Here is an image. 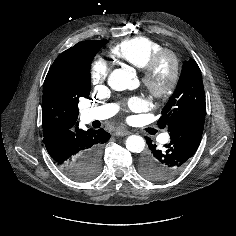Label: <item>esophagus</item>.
<instances>
[{"instance_id":"34e87169","label":"esophagus","mask_w":236,"mask_h":236,"mask_svg":"<svg viewBox=\"0 0 236 236\" xmlns=\"http://www.w3.org/2000/svg\"><path fill=\"white\" fill-rule=\"evenodd\" d=\"M130 134V131L128 130H125V129H118L116 132H115V135L116 136H126V135H129Z\"/></svg>"}]
</instances>
